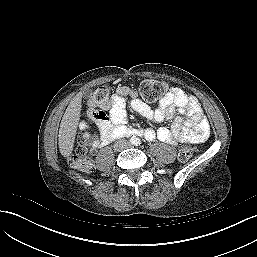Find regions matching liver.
Wrapping results in <instances>:
<instances>
[{
    "label": "liver",
    "instance_id": "liver-1",
    "mask_svg": "<svg viewBox=\"0 0 257 257\" xmlns=\"http://www.w3.org/2000/svg\"><path fill=\"white\" fill-rule=\"evenodd\" d=\"M82 108V93H78L69 103L60 123L58 145L64 157H69L73 151L77 127Z\"/></svg>",
    "mask_w": 257,
    "mask_h": 257
}]
</instances>
